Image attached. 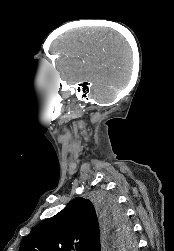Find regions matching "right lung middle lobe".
<instances>
[{
    "label": "right lung middle lobe",
    "instance_id": "obj_1",
    "mask_svg": "<svg viewBox=\"0 0 174 251\" xmlns=\"http://www.w3.org/2000/svg\"><path fill=\"white\" fill-rule=\"evenodd\" d=\"M92 201L99 211L104 225L110 231L111 240H114L113 244L123 250H133L135 243L130 238V225L124 211L113 197L105 191H100L93 196Z\"/></svg>",
    "mask_w": 174,
    "mask_h": 251
}]
</instances>
